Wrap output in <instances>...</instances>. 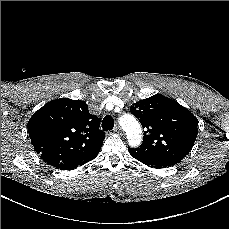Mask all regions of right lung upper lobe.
Returning <instances> with one entry per match:
<instances>
[{
    "mask_svg": "<svg viewBox=\"0 0 229 229\" xmlns=\"http://www.w3.org/2000/svg\"><path fill=\"white\" fill-rule=\"evenodd\" d=\"M84 101L60 98L32 115L28 133L35 151L51 166L70 170L99 153L104 132Z\"/></svg>",
    "mask_w": 229,
    "mask_h": 229,
    "instance_id": "cb5924a9",
    "label": "right lung upper lobe"
}]
</instances>
